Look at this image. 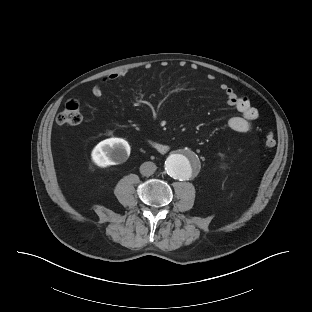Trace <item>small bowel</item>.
<instances>
[{
  "label": "small bowel",
  "mask_w": 312,
  "mask_h": 312,
  "mask_svg": "<svg viewBox=\"0 0 312 312\" xmlns=\"http://www.w3.org/2000/svg\"><path fill=\"white\" fill-rule=\"evenodd\" d=\"M126 74L127 71L121 70L103 76L99 82L92 87V94L98 99H103L104 93L102 86L116 79L123 78ZM208 78L213 79V75H209ZM220 89L226 95L227 104L240 113L239 116H234L229 119L228 125L230 129L237 133L249 132L252 129L253 122L259 117L258 110L251 105L247 97L237 95L230 86L221 84Z\"/></svg>",
  "instance_id": "c3829d8e"
}]
</instances>
